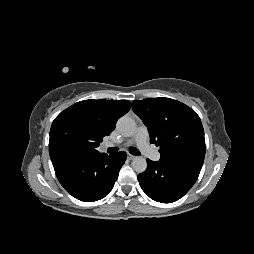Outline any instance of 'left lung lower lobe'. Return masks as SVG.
<instances>
[{
  "mask_svg": "<svg viewBox=\"0 0 254 254\" xmlns=\"http://www.w3.org/2000/svg\"><path fill=\"white\" fill-rule=\"evenodd\" d=\"M200 169L164 164L147 159V169L138 175L142 190L154 201L171 203L183 197L194 185Z\"/></svg>",
  "mask_w": 254,
  "mask_h": 254,
  "instance_id": "obj_1",
  "label": "left lung lower lobe"
}]
</instances>
